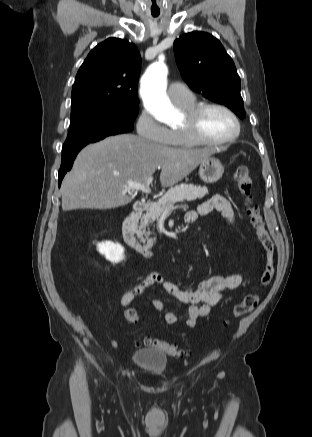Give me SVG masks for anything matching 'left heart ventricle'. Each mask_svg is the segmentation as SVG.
Returning a JSON list of instances; mask_svg holds the SVG:
<instances>
[{
	"label": "left heart ventricle",
	"mask_w": 312,
	"mask_h": 437,
	"mask_svg": "<svg viewBox=\"0 0 312 437\" xmlns=\"http://www.w3.org/2000/svg\"><path fill=\"white\" fill-rule=\"evenodd\" d=\"M185 122V116L182 125ZM200 131L202 135L211 140H220L230 136L235 129L232 118L224 111L217 108H210L201 116Z\"/></svg>",
	"instance_id": "b2bd125f"
}]
</instances>
